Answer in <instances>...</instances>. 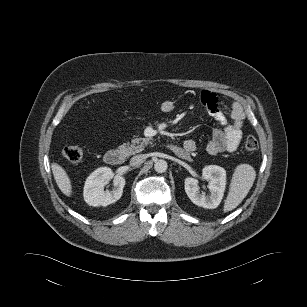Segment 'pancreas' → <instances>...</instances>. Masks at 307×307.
<instances>
[{
	"label": "pancreas",
	"mask_w": 307,
	"mask_h": 307,
	"mask_svg": "<svg viewBox=\"0 0 307 307\" xmlns=\"http://www.w3.org/2000/svg\"><path fill=\"white\" fill-rule=\"evenodd\" d=\"M150 143L148 138H136L131 142L124 143L119 146L120 152H122L125 156H130L136 153L143 151L144 147Z\"/></svg>",
	"instance_id": "1"
}]
</instances>
